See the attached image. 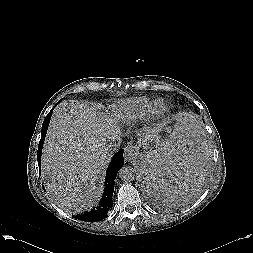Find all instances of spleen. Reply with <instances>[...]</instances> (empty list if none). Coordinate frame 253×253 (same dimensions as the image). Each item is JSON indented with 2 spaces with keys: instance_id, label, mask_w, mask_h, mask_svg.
Segmentation results:
<instances>
[{
  "instance_id": "obj_1",
  "label": "spleen",
  "mask_w": 253,
  "mask_h": 253,
  "mask_svg": "<svg viewBox=\"0 0 253 253\" xmlns=\"http://www.w3.org/2000/svg\"><path fill=\"white\" fill-rule=\"evenodd\" d=\"M207 133L205 120L195 112H182L172 120L146 173V188L153 198L175 204L193 197L209 163Z\"/></svg>"
}]
</instances>
